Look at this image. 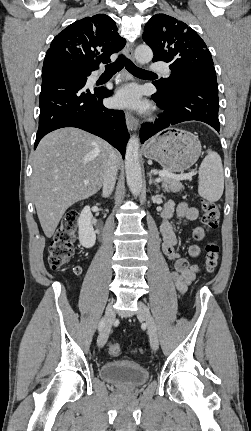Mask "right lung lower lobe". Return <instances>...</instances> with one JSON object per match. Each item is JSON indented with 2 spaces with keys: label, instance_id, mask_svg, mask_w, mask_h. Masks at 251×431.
I'll return each mask as SVG.
<instances>
[{
  "label": "right lung lower lobe",
  "instance_id": "obj_1",
  "mask_svg": "<svg viewBox=\"0 0 251 431\" xmlns=\"http://www.w3.org/2000/svg\"><path fill=\"white\" fill-rule=\"evenodd\" d=\"M91 71H87V76ZM86 78L66 70L42 72L39 128L34 149L49 132L77 127L97 135L125 156L129 133L123 111L107 109L102 99L112 95L105 88H86Z\"/></svg>",
  "mask_w": 251,
  "mask_h": 431
}]
</instances>
